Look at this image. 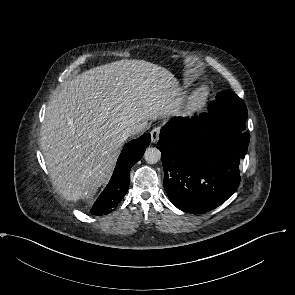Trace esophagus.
<instances>
[{"label": "esophagus", "instance_id": "34e87169", "mask_svg": "<svg viewBox=\"0 0 295 295\" xmlns=\"http://www.w3.org/2000/svg\"><path fill=\"white\" fill-rule=\"evenodd\" d=\"M151 142L156 143L159 139L160 127H154L151 132Z\"/></svg>", "mask_w": 295, "mask_h": 295}]
</instances>
